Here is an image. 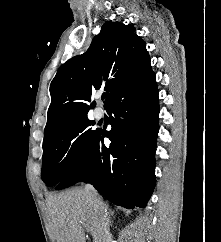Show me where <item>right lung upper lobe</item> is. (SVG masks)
Segmentation results:
<instances>
[{"label": "right lung upper lobe", "instance_id": "1", "mask_svg": "<svg viewBox=\"0 0 221 242\" xmlns=\"http://www.w3.org/2000/svg\"><path fill=\"white\" fill-rule=\"evenodd\" d=\"M132 25L106 22L86 53L64 63L50 84L44 138L87 116L91 95L103 88L105 108L124 87L151 70L146 44Z\"/></svg>", "mask_w": 221, "mask_h": 242}]
</instances>
